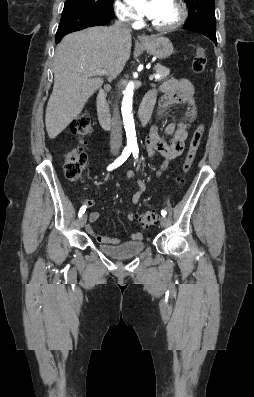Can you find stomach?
Segmentation results:
<instances>
[{
	"instance_id": "1",
	"label": "stomach",
	"mask_w": 254,
	"mask_h": 397,
	"mask_svg": "<svg viewBox=\"0 0 254 397\" xmlns=\"http://www.w3.org/2000/svg\"><path fill=\"white\" fill-rule=\"evenodd\" d=\"M141 46L150 54L159 59H166L173 53L171 41L163 36H151Z\"/></svg>"
}]
</instances>
